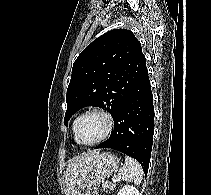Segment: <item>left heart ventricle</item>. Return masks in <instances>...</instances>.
<instances>
[{
	"label": "left heart ventricle",
	"mask_w": 211,
	"mask_h": 195,
	"mask_svg": "<svg viewBox=\"0 0 211 195\" xmlns=\"http://www.w3.org/2000/svg\"><path fill=\"white\" fill-rule=\"evenodd\" d=\"M106 129V121L103 117L93 114L85 117L79 127V139L90 143L97 140Z\"/></svg>",
	"instance_id": "obj_1"
}]
</instances>
